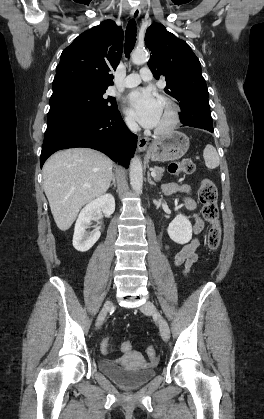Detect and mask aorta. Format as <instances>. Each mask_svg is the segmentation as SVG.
<instances>
[{
    "mask_svg": "<svg viewBox=\"0 0 264 419\" xmlns=\"http://www.w3.org/2000/svg\"><path fill=\"white\" fill-rule=\"evenodd\" d=\"M132 62L136 65L144 64L148 61V53L145 50H136L132 54ZM130 184L135 193L139 194L143 186L142 163L138 157H134L130 163Z\"/></svg>",
    "mask_w": 264,
    "mask_h": 419,
    "instance_id": "1",
    "label": "aorta"
}]
</instances>
